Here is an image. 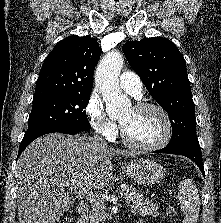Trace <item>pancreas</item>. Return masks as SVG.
Listing matches in <instances>:
<instances>
[{"mask_svg":"<svg viewBox=\"0 0 221 223\" xmlns=\"http://www.w3.org/2000/svg\"><path fill=\"white\" fill-rule=\"evenodd\" d=\"M124 190L127 192L125 194L127 198V206L132 214H139L143 217H156L159 215L158 206H156L154 202L146 199L139 190L132 186H127ZM105 219V207L101 201L99 204H93L92 210L80 219V223H101Z\"/></svg>","mask_w":221,"mask_h":223,"instance_id":"cf45deb5","label":"pancreas"}]
</instances>
